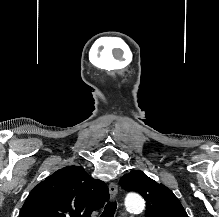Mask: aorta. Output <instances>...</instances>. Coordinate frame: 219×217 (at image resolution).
<instances>
[{
  "label": "aorta",
  "instance_id": "1",
  "mask_svg": "<svg viewBox=\"0 0 219 217\" xmlns=\"http://www.w3.org/2000/svg\"><path fill=\"white\" fill-rule=\"evenodd\" d=\"M125 204L127 209L132 212H142L145 207V202L140 195H129Z\"/></svg>",
  "mask_w": 219,
  "mask_h": 217
}]
</instances>
